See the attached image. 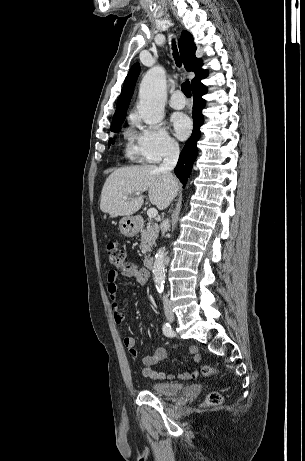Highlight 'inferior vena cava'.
<instances>
[{"label":"inferior vena cava","instance_id":"obj_1","mask_svg":"<svg viewBox=\"0 0 305 461\" xmlns=\"http://www.w3.org/2000/svg\"><path fill=\"white\" fill-rule=\"evenodd\" d=\"M179 158V145L177 143H168L164 150V159L159 166V171L165 173L168 176H171V171L175 168ZM167 225L162 228V236H164L169 225L168 220L166 221ZM164 308L167 309L170 306L169 299L167 295L163 296Z\"/></svg>","mask_w":305,"mask_h":461}]
</instances>
